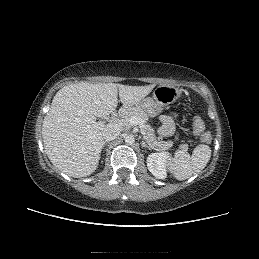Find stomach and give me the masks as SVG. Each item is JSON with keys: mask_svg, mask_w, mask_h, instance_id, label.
<instances>
[{"mask_svg": "<svg viewBox=\"0 0 259 259\" xmlns=\"http://www.w3.org/2000/svg\"><path fill=\"white\" fill-rule=\"evenodd\" d=\"M181 94V88L169 85H160L154 90L153 97L144 98L130 108L142 110L148 116H156L164 107L174 103Z\"/></svg>", "mask_w": 259, "mask_h": 259, "instance_id": "obj_1", "label": "stomach"}]
</instances>
